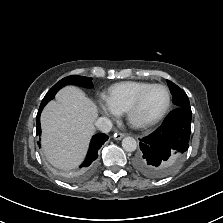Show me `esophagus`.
Listing matches in <instances>:
<instances>
[{
	"label": "esophagus",
	"mask_w": 223,
	"mask_h": 223,
	"mask_svg": "<svg viewBox=\"0 0 223 223\" xmlns=\"http://www.w3.org/2000/svg\"><path fill=\"white\" fill-rule=\"evenodd\" d=\"M123 137H125L124 133H115L114 134L115 140H121Z\"/></svg>",
	"instance_id": "1"
}]
</instances>
